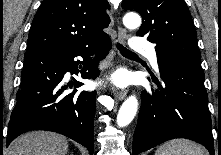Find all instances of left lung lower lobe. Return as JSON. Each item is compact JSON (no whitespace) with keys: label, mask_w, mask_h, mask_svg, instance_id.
<instances>
[{"label":"left lung lower lobe","mask_w":221,"mask_h":155,"mask_svg":"<svg viewBox=\"0 0 221 155\" xmlns=\"http://www.w3.org/2000/svg\"><path fill=\"white\" fill-rule=\"evenodd\" d=\"M163 86L144 90L133 137V155L173 138L204 145L214 155L208 96L201 61L176 52L157 53Z\"/></svg>","instance_id":"obj_1"}]
</instances>
